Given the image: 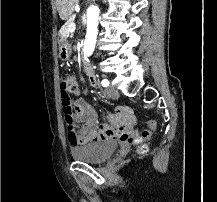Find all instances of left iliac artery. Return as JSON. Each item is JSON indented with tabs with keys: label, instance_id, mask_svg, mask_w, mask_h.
<instances>
[{
	"label": "left iliac artery",
	"instance_id": "44dca946",
	"mask_svg": "<svg viewBox=\"0 0 217 202\" xmlns=\"http://www.w3.org/2000/svg\"><path fill=\"white\" fill-rule=\"evenodd\" d=\"M101 84L103 87H107V86H109V81L107 79H104V80H102Z\"/></svg>",
	"mask_w": 217,
	"mask_h": 202
}]
</instances>
